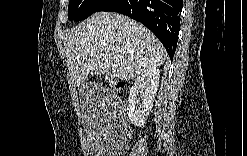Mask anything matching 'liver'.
Instances as JSON below:
<instances>
[{
    "label": "liver",
    "instance_id": "liver-1",
    "mask_svg": "<svg viewBox=\"0 0 247 156\" xmlns=\"http://www.w3.org/2000/svg\"><path fill=\"white\" fill-rule=\"evenodd\" d=\"M65 41L68 69L76 86L90 72L105 75L112 70L121 80L134 79L148 67L163 65L167 58L151 31L119 13H95L69 30Z\"/></svg>",
    "mask_w": 247,
    "mask_h": 156
}]
</instances>
